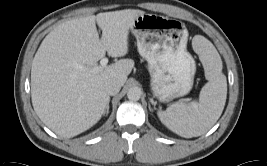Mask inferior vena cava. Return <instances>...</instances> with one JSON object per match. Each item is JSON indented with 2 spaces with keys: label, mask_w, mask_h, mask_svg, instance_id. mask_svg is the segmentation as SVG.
Returning <instances> with one entry per match:
<instances>
[{
  "label": "inferior vena cava",
  "mask_w": 267,
  "mask_h": 166,
  "mask_svg": "<svg viewBox=\"0 0 267 166\" xmlns=\"http://www.w3.org/2000/svg\"><path fill=\"white\" fill-rule=\"evenodd\" d=\"M121 83L116 80H108L105 84V91L108 95H115L121 89Z\"/></svg>",
  "instance_id": "602c4592"
}]
</instances>
